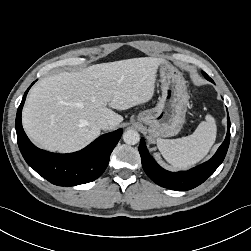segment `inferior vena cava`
I'll return each instance as SVG.
<instances>
[{"label":"inferior vena cava","instance_id":"602c4592","mask_svg":"<svg viewBox=\"0 0 251 251\" xmlns=\"http://www.w3.org/2000/svg\"><path fill=\"white\" fill-rule=\"evenodd\" d=\"M97 125L102 129V130H108L114 128L115 124L106 118H99L97 120Z\"/></svg>","mask_w":251,"mask_h":251}]
</instances>
